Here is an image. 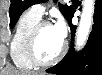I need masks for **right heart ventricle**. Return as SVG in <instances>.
Segmentation results:
<instances>
[{"instance_id":"right-heart-ventricle-1","label":"right heart ventricle","mask_w":102,"mask_h":75,"mask_svg":"<svg viewBox=\"0 0 102 75\" xmlns=\"http://www.w3.org/2000/svg\"><path fill=\"white\" fill-rule=\"evenodd\" d=\"M40 18L31 10H27L21 14L17 21L10 43V54L14 64L19 68L30 69L34 66L27 55L26 41Z\"/></svg>"}]
</instances>
